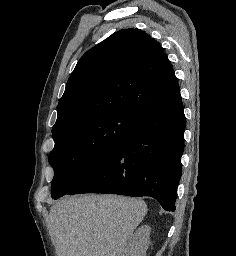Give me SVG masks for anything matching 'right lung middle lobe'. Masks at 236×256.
Returning <instances> with one entry per match:
<instances>
[{
    "instance_id": "obj_1",
    "label": "right lung middle lobe",
    "mask_w": 236,
    "mask_h": 256,
    "mask_svg": "<svg viewBox=\"0 0 236 256\" xmlns=\"http://www.w3.org/2000/svg\"><path fill=\"white\" fill-rule=\"evenodd\" d=\"M139 121L126 112H116L72 124L54 133L55 146L49 154V163L55 171L52 197L58 199L70 191Z\"/></svg>"
}]
</instances>
